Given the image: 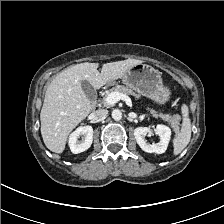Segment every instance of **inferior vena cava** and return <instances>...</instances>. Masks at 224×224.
Segmentation results:
<instances>
[{
    "mask_svg": "<svg viewBox=\"0 0 224 224\" xmlns=\"http://www.w3.org/2000/svg\"><path fill=\"white\" fill-rule=\"evenodd\" d=\"M107 114H108V110L99 109L93 113V116L96 120H101V119L105 118L107 116Z\"/></svg>",
    "mask_w": 224,
    "mask_h": 224,
    "instance_id": "inferior-vena-cava-1",
    "label": "inferior vena cava"
}]
</instances>
